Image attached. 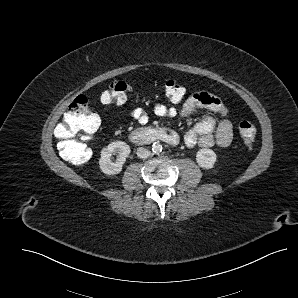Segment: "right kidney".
<instances>
[{"mask_svg":"<svg viewBox=\"0 0 298 298\" xmlns=\"http://www.w3.org/2000/svg\"><path fill=\"white\" fill-rule=\"evenodd\" d=\"M130 153L129 146L122 141L111 142L101 151L100 168L105 174H116L121 171L122 165L125 163ZM114 155L116 159L114 160Z\"/></svg>","mask_w":298,"mask_h":298,"instance_id":"1","label":"right kidney"}]
</instances>
